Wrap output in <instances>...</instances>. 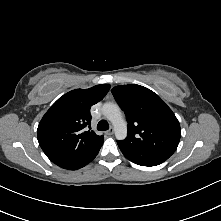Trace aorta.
I'll return each instance as SVG.
<instances>
[{
	"mask_svg": "<svg viewBox=\"0 0 221 221\" xmlns=\"http://www.w3.org/2000/svg\"><path fill=\"white\" fill-rule=\"evenodd\" d=\"M103 115L112 123L115 136L118 140H124L127 136V124L124 120L119 106L107 102L102 107Z\"/></svg>",
	"mask_w": 221,
	"mask_h": 221,
	"instance_id": "obj_1",
	"label": "aorta"
}]
</instances>
